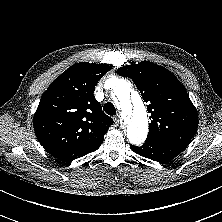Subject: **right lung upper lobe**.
<instances>
[{
    "mask_svg": "<svg viewBox=\"0 0 222 222\" xmlns=\"http://www.w3.org/2000/svg\"><path fill=\"white\" fill-rule=\"evenodd\" d=\"M112 68L77 63L44 92L33 119L44 149L60 161L71 162L96 151L113 120L94 97L97 82Z\"/></svg>",
    "mask_w": 222,
    "mask_h": 222,
    "instance_id": "obj_1",
    "label": "right lung upper lobe"
}]
</instances>
